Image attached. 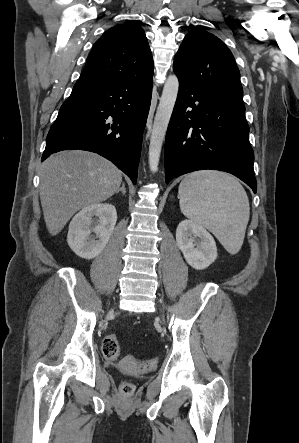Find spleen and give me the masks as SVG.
<instances>
[{"label":"spleen","mask_w":299,"mask_h":443,"mask_svg":"<svg viewBox=\"0 0 299 443\" xmlns=\"http://www.w3.org/2000/svg\"><path fill=\"white\" fill-rule=\"evenodd\" d=\"M178 198L187 218L210 230L229 253L240 250L250 207L235 178L217 171L192 173L180 183Z\"/></svg>","instance_id":"obj_1"}]
</instances>
